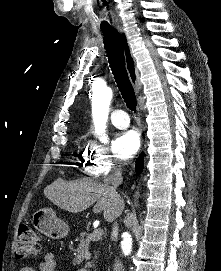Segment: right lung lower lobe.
<instances>
[{"label":"right lung lower lobe","instance_id":"98d812e1","mask_svg":"<svg viewBox=\"0 0 221 271\" xmlns=\"http://www.w3.org/2000/svg\"><path fill=\"white\" fill-rule=\"evenodd\" d=\"M143 156H144L143 153L140 154V156L136 160V168H135V170H136L137 173L142 172V169H143Z\"/></svg>","mask_w":221,"mask_h":271}]
</instances>
